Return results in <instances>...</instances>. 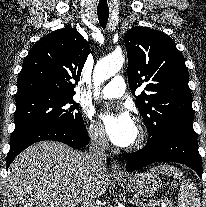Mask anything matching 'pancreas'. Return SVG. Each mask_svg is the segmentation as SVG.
Wrapping results in <instances>:
<instances>
[{"label":"pancreas","instance_id":"1","mask_svg":"<svg viewBox=\"0 0 206 207\" xmlns=\"http://www.w3.org/2000/svg\"><path fill=\"white\" fill-rule=\"evenodd\" d=\"M160 205V201H157V200H150L149 202H143V201H140L138 204H137V207H159ZM168 207H171V206H168Z\"/></svg>","mask_w":206,"mask_h":207}]
</instances>
